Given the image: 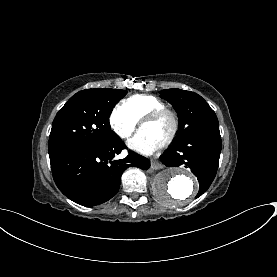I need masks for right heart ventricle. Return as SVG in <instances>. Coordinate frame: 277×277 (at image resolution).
I'll list each match as a JSON object with an SVG mask.
<instances>
[{
    "label": "right heart ventricle",
    "instance_id": "obj_1",
    "mask_svg": "<svg viewBox=\"0 0 277 277\" xmlns=\"http://www.w3.org/2000/svg\"><path fill=\"white\" fill-rule=\"evenodd\" d=\"M123 107L137 121H140L150 110L166 108V105L162 100L155 96L136 94L125 100Z\"/></svg>",
    "mask_w": 277,
    "mask_h": 277
}]
</instances>
